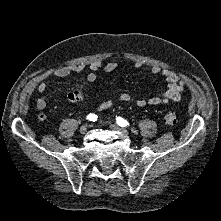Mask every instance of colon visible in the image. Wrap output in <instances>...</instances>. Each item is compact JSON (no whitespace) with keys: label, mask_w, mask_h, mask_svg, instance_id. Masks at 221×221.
I'll list each match as a JSON object with an SVG mask.
<instances>
[{"label":"colon","mask_w":221,"mask_h":221,"mask_svg":"<svg viewBox=\"0 0 221 221\" xmlns=\"http://www.w3.org/2000/svg\"><path fill=\"white\" fill-rule=\"evenodd\" d=\"M83 96V92L79 89L75 90L73 93L72 101H79ZM164 122L166 125L172 126L176 124L177 117L173 111H168L164 116Z\"/></svg>","instance_id":"5ec220e1"}]
</instances>
